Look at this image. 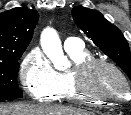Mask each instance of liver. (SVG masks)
I'll use <instances>...</instances> for the list:
<instances>
[{
    "label": "liver",
    "instance_id": "1",
    "mask_svg": "<svg viewBox=\"0 0 131 115\" xmlns=\"http://www.w3.org/2000/svg\"><path fill=\"white\" fill-rule=\"evenodd\" d=\"M0 115H93L82 109L35 104L0 105Z\"/></svg>",
    "mask_w": 131,
    "mask_h": 115
}]
</instances>
